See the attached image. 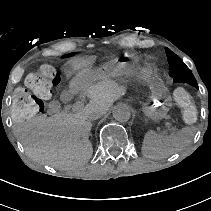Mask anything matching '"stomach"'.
I'll return each instance as SVG.
<instances>
[{"label": "stomach", "mask_w": 211, "mask_h": 211, "mask_svg": "<svg viewBox=\"0 0 211 211\" xmlns=\"http://www.w3.org/2000/svg\"><path fill=\"white\" fill-rule=\"evenodd\" d=\"M136 75L137 72L132 67L126 64H118L116 66H104L95 70L82 71L77 74L75 81L79 85H87L94 79L106 76L127 77ZM149 86L151 96L149 102L143 107V112L148 118L154 121L164 119L172 106L169 91L157 77H153L150 80Z\"/></svg>", "instance_id": "0dacf381"}]
</instances>
